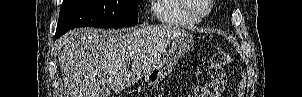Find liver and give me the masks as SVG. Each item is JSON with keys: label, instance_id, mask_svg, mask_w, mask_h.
<instances>
[{"label": "liver", "instance_id": "1", "mask_svg": "<svg viewBox=\"0 0 302 97\" xmlns=\"http://www.w3.org/2000/svg\"><path fill=\"white\" fill-rule=\"evenodd\" d=\"M181 33L172 26L67 32L58 41L65 97H99L103 88L122 91L146 75Z\"/></svg>", "mask_w": 302, "mask_h": 97}]
</instances>
